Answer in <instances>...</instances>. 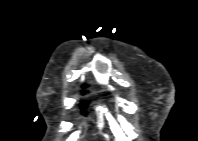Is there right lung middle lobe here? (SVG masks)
<instances>
[{
  "label": "right lung middle lobe",
  "mask_w": 198,
  "mask_h": 141,
  "mask_svg": "<svg viewBox=\"0 0 198 141\" xmlns=\"http://www.w3.org/2000/svg\"><path fill=\"white\" fill-rule=\"evenodd\" d=\"M86 106H87V102H82V103H81V108H82V109H85Z\"/></svg>",
  "instance_id": "right-lung-middle-lobe-1"
}]
</instances>
